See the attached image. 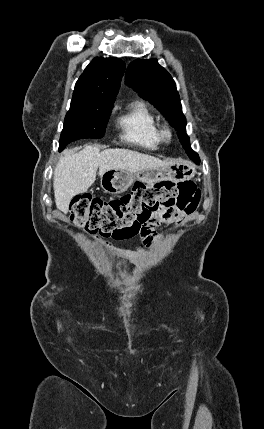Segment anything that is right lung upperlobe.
Returning a JSON list of instances; mask_svg holds the SVG:
<instances>
[{"instance_id":"obj_1","label":"right lung upper lobe","mask_w":264,"mask_h":429,"mask_svg":"<svg viewBox=\"0 0 264 429\" xmlns=\"http://www.w3.org/2000/svg\"><path fill=\"white\" fill-rule=\"evenodd\" d=\"M124 70L118 58H94L76 82L72 99L114 102Z\"/></svg>"}]
</instances>
